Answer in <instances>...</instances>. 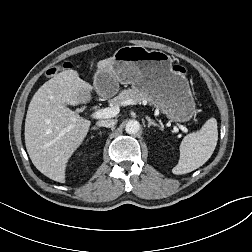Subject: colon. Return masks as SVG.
<instances>
[{
	"label": "colon",
	"instance_id": "5ec220e1",
	"mask_svg": "<svg viewBox=\"0 0 252 252\" xmlns=\"http://www.w3.org/2000/svg\"><path fill=\"white\" fill-rule=\"evenodd\" d=\"M64 67H66V65H64ZM59 68L55 67L53 69L50 70L51 74H55L58 71ZM174 69L178 72H185L184 68L181 66H175Z\"/></svg>",
	"mask_w": 252,
	"mask_h": 252
}]
</instances>
